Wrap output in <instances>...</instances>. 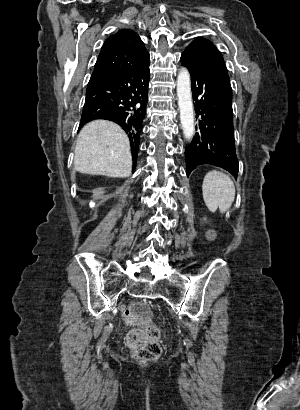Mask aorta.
<instances>
[{"instance_id":"aorta-1","label":"aorta","mask_w":300,"mask_h":410,"mask_svg":"<svg viewBox=\"0 0 300 410\" xmlns=\"http://www.w3.org/2000/svg\"><path fill=\"white\" fill-rule=\"evenodd\" d=\"M177 96L180 111V121L184 137L190 140L194 136V108L191 93L190 74L186 68H181L177 76Z\"/></svg>"}]
</instances>
